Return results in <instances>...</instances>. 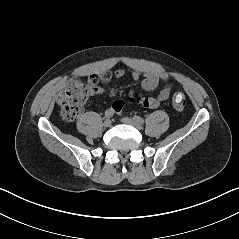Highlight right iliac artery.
<instances>
[{"label":"right iliac artery","instance_id":"obj_1","mask_svg":"<svg viewBox=\"0 0 239 239\" xmlns=\"http://www.w3.org/2000/svg\"><path fill=\"white\" fill-rule=\"evenodd\" d=\"M114 115V111L112 109H108L105 111V118H111Z\"/></svg>","mask_w":239,"mask_h":239}]
</instances>
